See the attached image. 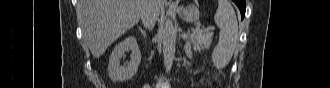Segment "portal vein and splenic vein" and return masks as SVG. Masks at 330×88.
I'll return each instance as SVG.
<instances>
[{"label": "portal vein and splenic vein", "instance_id": "1", "mask_svg": "<svg viewBox=\"0 0 330 88\" xmlns=\"http://www.w3.org/2000/svg\"><path fill=\"white\" fill-rule=\"evenodd\" d=\"M212 30V28H210V27H207V28H199V29H197L195 32H206V33H208V32H210ZM211 34V33H210ZM183 38H187V35L186 34H184L183 35Z\"/></svg>", "mask_w": 330, "mask_h": 88}]
</instances>
